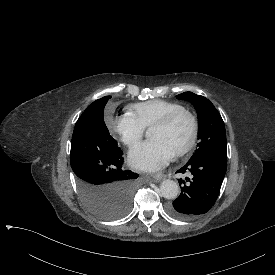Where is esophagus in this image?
Masks as SVG:
<instances>
[{
	"label": "esophagus",
	"instance_id": "34e87169",
	"mask_svg": "<svg viewBox=\"0 0 275 275\" xmlns=\"http://www.w3.org/2000/svg\"><path fill=\"white\" fill-rule=\"evenodd\" d=\"M152 177H153L156 181H160V180H162V179L165 177V175H164L163 173L159 172V173L154 174Z\"/></svg>",
	"mask_w": 275,
	"mask_h": 275
}]
</instances>
